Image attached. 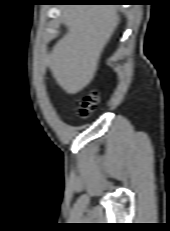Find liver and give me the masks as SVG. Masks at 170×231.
Wrapping results in <instances>:
<instances>
[{"mask_svg": "<svg viewBox=\"0 0 170 231\" xmlns=\"http://www.w3.org/2000/svg\"><path fill=\"white\" fill-rule=\"evenodd\" d=\"M62 15L68 32L54 45L47 66L66 93L76 94L93 80L120 17L110 5H73L62 8Z\"/></svg>", "mask_w": 170, "mask_h": 231, "instance_id": "liver-1", "label": "liver"}]
</instances>
